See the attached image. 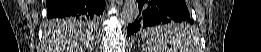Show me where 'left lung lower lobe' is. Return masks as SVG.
<instances>
[{"mask_svg":"<svg viewBox=\"0 0 261 52\" xmlns=\"http://www.w3.org/2000/svg\"><path fill=\"white\" fill-rule=\"evenodd\" d=\"M137 2L139 15L134 23L128 25V36L140 28L173 22H183L186 27L183 34H189L188 25L192 24V21L184 0H137Z\"/></svg>","mask_w":261,"mask_h":52,"instance_id":"left-lung-lower-lobe-1","label":"left lung lower lobe"}]
</instances>
